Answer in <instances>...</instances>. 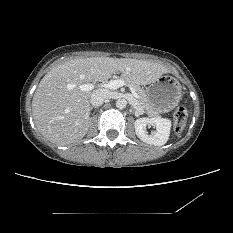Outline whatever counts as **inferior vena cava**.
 Here are the masks:
<instances>
[{
  "mask_svg": "<svg viewBox=\"0 0 233 233\" xmlns=\"http://www.w3.org/2000/svg\"><path fill=\"white\" fill-rule=\"evenodd\" d=\"M111 93L107 89H97L92 92L90 102L93 106H101L103 102L110 98Z\"/></svg>",
  "mask_w": 233,
  "mask_h": 233,
  "instance_id": "1",
  "label": "inferior vena cava"
}]
</instances>
